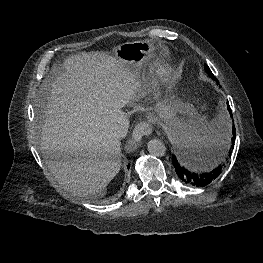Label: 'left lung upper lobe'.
I'll return each mask as SVG.
<instances>
[{
    "mask_svg": "<svg viewBox=\"0 0 263 263\" xmlns=\"http://www.w3.org/2000/svg\"><path fill=\"white\" fill-rule=\"evenodd\" d=\"M204 68H205L206 72L208 73V75H209L212 79H214V80L217 81V79L215 78V76H214L213 73L211 72L210 68H209L207 65H204Z\"/></svg>",
    "mask_w": 263,
    "mask_h": 263,
    "instance_id": "1",
    "label": "left lung upper lobe"
}]
</instances>
